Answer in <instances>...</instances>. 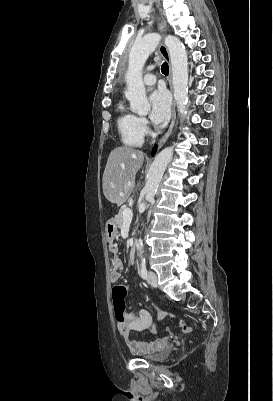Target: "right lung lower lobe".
I'll return each mask as SVG.
<instances>
[{
  "label": "right lung lower lobe",
  "instance_id": "obj_1",
  "mask_svg": "<svg viewBox=\"0 0 273 401\" xmlns=\"http://www.w3.org/2000/svg\"><path fill=\"white\" fill-rule=\"evenodd\" d=\"M156 152V146L152 150V155Z\"/></svg>",
  "mask_w": 273,
  "mask_h": 401
}]
</instances>
